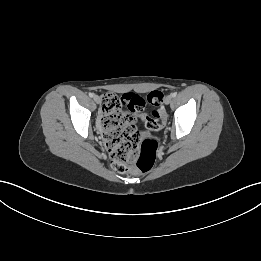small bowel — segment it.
I'll return each mask as SVG.
<instances>
[{
    "label": "small bowel",
    "instance_id": "c3829d8e",
    "mask_svg": "<svg viewBox=\"0 0 261 261\" xmlns=\"http://www.w3.org/2000/svg\"><path fill=\"white\" fill-rule=\"evenodd\" d=\"M142 113H143V110H142ZM142 113H141V114H142ZM141 114H140V115H141ZM140 115H139V116H134V115L131 113V111H130L129 117H130V119H131V122L134 123L135 120H136V118H140Z\"/></svg>",
    "mask_w": 261,
    "mask_h": 261
}]
</instances>
